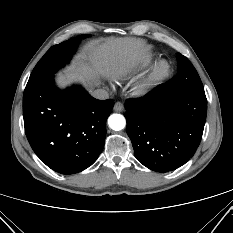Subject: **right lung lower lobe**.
I'll use <instances>...</instances> for the list:
<instances>
[{
	"label": "right lung lower lobe",
	"instance_id": "right-lung-lower-lobe-1",
	"mask_svg": "<svg viewBox=\"0 0 233 233\" xmlns=\"http://www.w3.org/2000/svg\"><path fill=\"white\" fill-rule=\"evenodd\" d=\"M114 101L97 100L77 86L58 90L53 75L24 91L23 117L35 154L52 170L74 174L102 152Z\"/></svg>",
	"mask_w": 233,
	"mask_h": 233
}]
</instances>
